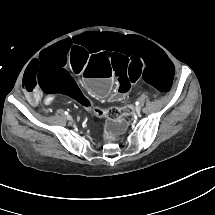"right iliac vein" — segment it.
Wrapping results in <instances>:
<instances>
[{
	"mask_svg": "<svg viewBox=\"0 0 215 215\" xmlns=\"http://www.w3.org/2000/svg\"><path fill=\"white\" fill-rule=\"evenodd\" d=\"M67 119H68V120H71V116H67Z\"/></svg>",
	"mask_w": 215,
	"mask_h": 215,
	"instance_id": "right-iliac-vein-1",
	"label": "right iliac vein"
}]
</instances>
